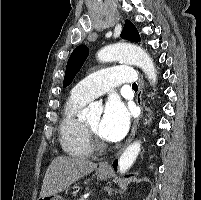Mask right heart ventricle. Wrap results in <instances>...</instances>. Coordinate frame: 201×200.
Instances as JSON below:
<instances>
[{"mask_svg":"<svg viewBox=\"0 0 201 200\" xmlns=\"http://www.w3.org/2000/svg\"><path fill=\"white\" fill-rule=\"evenodd\" d=\"M88 102L71 93L64 104L58 132L60 145L68 155L82 157L92 153V148L86 140L83 121L79 117Z\"/></svg>","mask_w":201,"mask_h":200,"instance_id":"1","label":"right heart ventricle"}]
</instances>
